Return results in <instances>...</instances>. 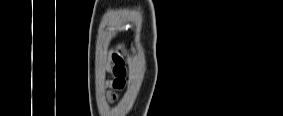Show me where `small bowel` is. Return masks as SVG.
Instances as JSON below:
<instances>
[{"instance_id":"1","label":"small bowel","mask_w":283,"mask_h":116,"mask_svg":"<svg viewBox=\"0 0 283 116\" xmlns=\"http://www.w3.org/2000/svg\"><path fill=\"white\" fill-rule=\"evenodd\" d=\"M113 60L115 62L114 73L116 76H124L126 75L125 70V58L122 54L113 55Z\"/></svg>"}]
</instances>
